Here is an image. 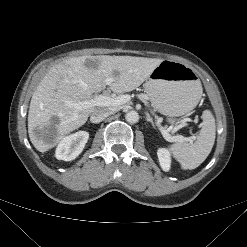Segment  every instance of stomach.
<instances>
[{"instance_id":"1","label":"stomach","mask_w":247,"mask_h":247,"mask_svg":"<svg viewBox=\"0 0 247 247\" xmlns=\"http://www.w3.org/2000/svg\"><path fill=\"white\" fill-rule=\"evenodd\" d=\"M152 106L167 117L169 124L196 107L202 85L196 72L182 63L163 60L144 84Z\"/></svg>"}]
</instances>
